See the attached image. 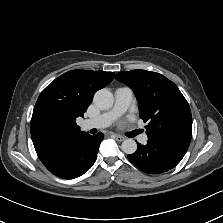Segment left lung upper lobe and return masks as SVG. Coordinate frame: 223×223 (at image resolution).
<instances>
[{
  "label": "left lung upper lobe",
  "instance_id": "5c2ea615",
  "mask_svg": "<svg viewBox=\"0 0 223 223\" xmlns=\"http://www.w3.org/2000/svg\"><path fill=\"white\" fill-rule=\"evenodd\" d=\"M116 79L134 91L140 118L148 122V139L186 152L192 137V116L178 87L163 75L146 70L119 72Z\"/></svg>",
  "mask_w": 223,
  "mask_h": 223
}]
</instances>
